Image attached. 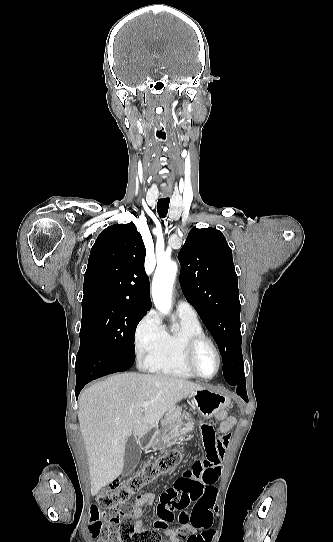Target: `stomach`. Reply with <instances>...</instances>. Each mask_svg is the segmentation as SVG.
<instances>
[{"label":"stomach","instance_id":"0dacf381","mask_svg":"<svg viewBox=\"0 0 333 542\" xmlns=\"http://www.w3.org/2000/svg\"><path fill=\"white\" fill-rule=\"evenodd\" d=\"M188 398L195 410L194 414L197 418H213L217 412L228 406V400L224 394L213 392V390H208V388L196 390L193 394H189ZM185 420V424L178 423L174 428V424H172V426H165L162 430L155 428V432H148L146 438L141 442L142 448L148 450V448H157V446H168L172 440H192L194 438V433L192 432L194 420L193 418H187V416H185Z\"/></svg>","mask_w":333,"mask_h":542}]
</instances>
